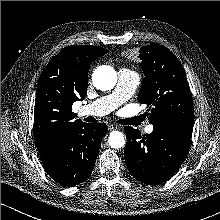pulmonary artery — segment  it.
Returning <instances> with one entry per match:
<instances>
[{"label":"pulmonary artery","instance_id":"e3ab8cb5","mask_svg":"<svg viewBox=\"0 0 220 220\" xmlns=\"http://www.w3.org/2000/svg\"><path fill=\"white\" fill-rule=\"evenodd\" d=\"M139 80V75L137 73L127 69L119 70L118 82L114 91L109 95L102 96L97 100L82 106L81 114L104 116L111 113L133 96L139 84ZM152 131V125H147L145 127L146 133H152Z\"/></svg>","mask_w":220,"mask_h":220}]
</instances>
